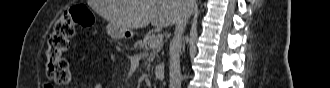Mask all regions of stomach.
Segmentation results:
<instances>
[{"mask_svg": "<svg viewBox=\"0 0 330 88\" xmlns=\"http://www.w3.org/2000/svg\"><path fill=\"white\" fill-rule=\"evenodd\" d=\"M125 31H126V30H120L119 32H117V31H113V34H114V35H117V36H120V37H124V35H125Z\"/></svg>", "mask_w": 330, "mask_h": 88, "instance_id": "obj_1", "label": "stomach"}]
</instances>
